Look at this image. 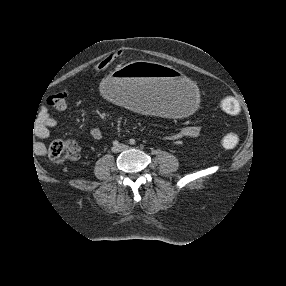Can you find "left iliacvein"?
Masks as SVG:
<instances>
[{
	"instance_id": "left-iliac-vein-1",
	"label": "left iliac vein",
	"mask_w": 286,
	"mask_h": 286,
	"mask_svg": "<svg viewBox=\"0 0 286 286\" xmlns=\"http://www.w3.org/2000/svg\"><path fill=\"white\" fill-rule=\"evenodd\" d=\"M119 149H120L121 151H122V150H126V149H128V146L125 145V144H122V145L119 146Z\"/></svg>"
}]
</instances>
